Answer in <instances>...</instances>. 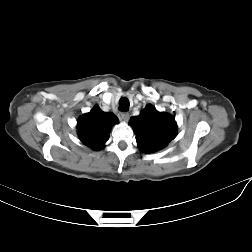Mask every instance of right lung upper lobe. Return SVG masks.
<instances>
[{
    "mask_svg": "<svg viewBox=\"0 0 252 252\" xmlns=\"http://www.w3.org/2000/svg\"><path fill=\"white\" fill-rule=\"evenodd\" d=\"M114 123H119L116 115L103 112L96 105L89 113L79 118L78 134L86 146L94 150H100L109 139L110 130Z\"/></svg>",
    "mask_w": 252,
    "mask_h": 252,
    "instance_id": "right-lung-upper-lobe-1",
    "label": "right lung upper lobe"
}]
</instances>
